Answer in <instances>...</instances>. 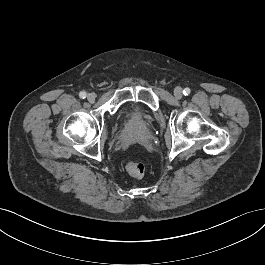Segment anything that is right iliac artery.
Returning a JSON list of instances; mask_svg holds the SVG:
<instances>
[{
	"label": "right iliac artery",
	"instance_id": "obj_1",
	"mask_svg": "<svg viewBox=\"0 0 265 265\" xmlns=\"http://www.w3.org/2000/svg\"><path fill=\"white\" fill-rule=\"evenodd\" d=\"M79 96H80V98L84 99V98H86L87 94H86V92L82 91L79 93Z\"/></svg>",
	"mask_w": 265,
	"mask_h": 265
}]
</instances>
